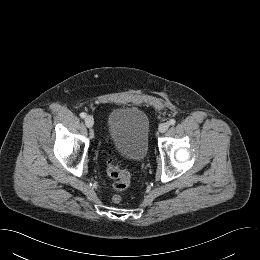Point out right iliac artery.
Returning a JSON list of instances; mask_svg holds the SVG:
<instances>
[{
    "instance_id": "obj_1",
    "label": "right iliac artery",
    "mask_w": 260,
    "mask_h": 260,
    "mask_svg": "<svg viewBox=\"0 0 260 260\" xmlns=\"http://www.w3.org/2000/svg\"><path fill=\"white\" fill-rule=\"evenodd\" d=\"M80 117L81 118H85L86 117V113H84V112L80 113Z\"/></svg>"
}]
</instances>
